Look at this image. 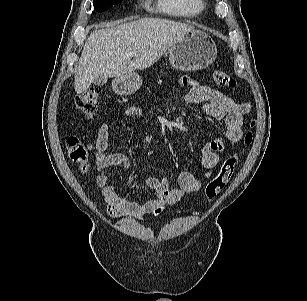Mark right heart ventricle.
<instances>
[{
    "label": "right heart ventricle",
    "instance_id": "1",
    "mask_svg": "<svg viewBox=\"0 0 307 301\" xmlns=\"http://www.w3.org/2000/svg\"><path fill=\"white\" fill-rule=\"evenodd\" d=\"M205 0H156V8L178 17H192L205 8Z\"/></svg>",
    "mask_w": 307,
    "mask_h": 301
}]
</instances>
